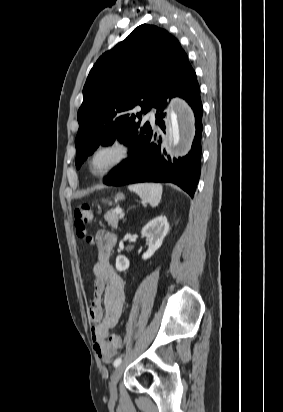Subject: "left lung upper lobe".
<instances>
[{
    "label": "left lung upper lobe",
    "instance_id": "obj_1",
    "mask_svg": "<svg viewBox=\"0 0 283 412\" xmlns=\"http://www.w3.org/2000/svg\"><path fill=\"white\" fill-rule=\"evenodd\" d=\"M192 70L178 40L153 25L138 26L105 52L83 88L75 139L77 169L100 144L118 139L128 145L133 134L147 129L150 124L142 116L166 103Z\"/></svg>",
    "mask_w": 283,
    "mask_h": 412
}]
</instances>
